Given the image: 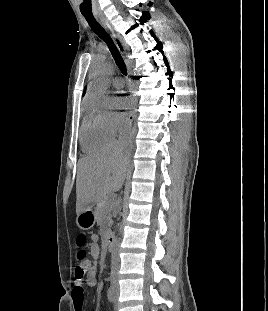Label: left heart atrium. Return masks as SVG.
Returning <instances> with one entry per match:
<instances>
[{
    "instance_id": "1",
    "label": "left heart atrium",
    "mask_w": 268,
    "mask_h": 311,
    "mask_svg": "<svg viewBox=\"0 0 268 311\" xmlns=\"http://www.w3.org/2000/svg\"><path fill=\"white\" fill-rule=\"evenodd\" d=\"M113 104L118 109H128L130 106V100L123 97H114Z\"/></svg>"
}]
</instances>
